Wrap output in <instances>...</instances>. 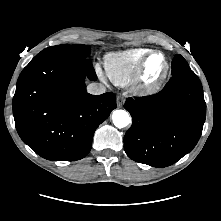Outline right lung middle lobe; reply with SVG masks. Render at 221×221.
I'll return each instance as SVG.
<instances>
[{
  "mask_svg": "<svg viewBox=\"0 0 221 221\" xmlns=\"http://www.w3.org/2000/svg\"><path fill=\"white\" fill-rule=\"evenodd\" d=\"M90 54V48L86 45H57L41 51L36 57L44 55L65 56L76 58H87Z\"/></svg>",
  "mask_w": 221,
  "mask_h": 221,
  "instance_id": "obj_1",
  "label": "right lung middle lobe"
}]
</instances>
